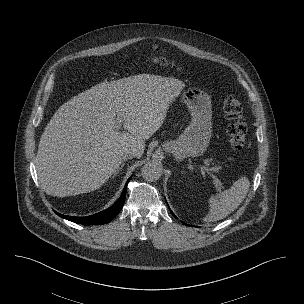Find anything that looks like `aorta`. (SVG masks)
Returning <instances> with one entry per match:
<instances>
[{
    "label": "aorta",
    "mask_w": 304,
    "mask_h": 304,
    "mask_svg": "<svg viewBox=\"0 0 304 304\" xmlns=\"http://www.w3.org/2000/svg\"><path fill=\"white\" fill-rule=\"evenodd\" d=\"M142 177L150 182L158 180L162 175V167L156 161H149L141 168Z\"/></svg>",
    "instance_id": "obj_1"
}]
</instances>
